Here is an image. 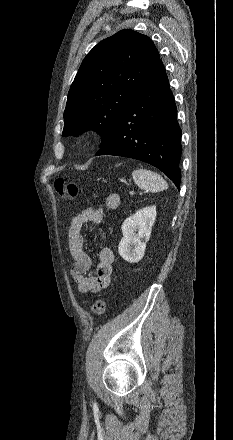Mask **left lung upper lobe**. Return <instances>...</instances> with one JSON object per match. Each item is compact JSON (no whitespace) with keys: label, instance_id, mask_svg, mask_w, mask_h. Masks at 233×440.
I'll return each instance as SVG.
<instances>
[{"label":"left lung upper lobe","instance_id":"1","mask_svg":"<svg viewBox=\"0 0 233 440\" xmlns=\"http://www.w3.org/2000/svg\"><path fill=\"white\" fill-rule=\"evenodd\" d=\"M159 61L149 37L124 29L99 42L84 58L70 87L63 136L93 129L105 144L136 92Z\"/></svg>","mask_w":233,"mask_h":440}]
</instances>
